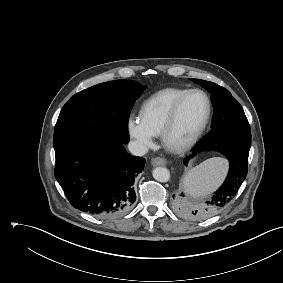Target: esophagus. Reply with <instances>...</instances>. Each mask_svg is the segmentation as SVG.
<instances>
[{
    "label": "esophagus",
    "instance_id": "esophagus-1",
    "mask_svg": "<svg viewBox=\"0 0 283 283\" xmlns=\"http://www.w3.org/2000/svg\"><path fill=\"white\" fill-rule=\"evenodd\" d=\"M153 166H165L167 164V160L162 157L153 158L151 161Z\"/></svg>",
    "mask_w": 283,
    "mask_h": 283
}]
</instances>
